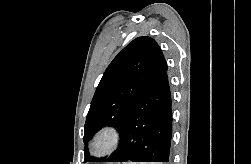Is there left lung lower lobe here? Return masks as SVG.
I'll return each mask as SVG.
<instances>
[{
    "label": "left lung lower lobe",
    "instance_id": "1",
    "mask_svg": "<svg viewBox=\"0 0 251 164\" xmlns=\"http://www.w3.org/2000/svg\"><path fill=\"white\" fill-rule=\"evenodd\" d=\"M167 70L141 93L120 133L118 149L100 162H168L172 136Z\"/></svg>",
    "mask_w": 251,
    "mask_h": 164
}]
</instances>
